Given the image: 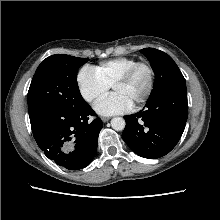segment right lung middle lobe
I'll return each instance as SVG.
<instances>
[{
	"label": "right lung middle lobe",
	"instance_id": "right-lung-middle-lobe-1",
	"mask_svg": "<svg viewBox=\"0 0 220 220\" xmlns=\"http://www.w3.org/2000/svg\"><path fill=\"white\" fill-rule=\"evenodd\" d=\"M89 58L65 54L47 57L38 66L28 91L29 117L53 108L68 111L87 105L77 84V70Z\"/></svg>",
	"mask_w": 220,
	"mask_h": 220
}]
</instances>
